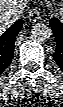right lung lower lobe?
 <instances>
[{"label": "right lung lower lobe", "instance_id": "right-lung-lower-lobe-1", "mask_svg": "<svg viewBox=\"0 0 63 107\" xmlns=\"http://www.w3.org/2000/svg\"><path fill=\"white\" fill-rule=\"evenodd\" d=\"M21 28L22 21L18 20L0 36V74L13 59L15 39Z\"/></svg>", "mask_w": 63, "mask_h": 107}]
</instances>
